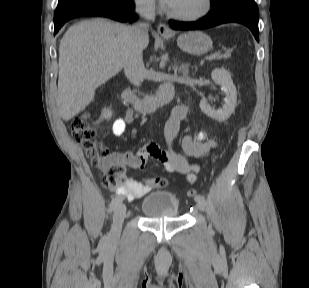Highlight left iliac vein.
<instances>
[{
    "label": "left iliac vein",
    "instance_id": "obj_1",
    "mask_svg": "<svg viewBox=\"0 0 309 288\" xmlns=\"http://www.w3.org/2000/svg\"><path fill=\"white\" fill-rule=\"evenodd\" d=\"M197 204V208L200 210V211H204L205 210V207H206V203H205V200H200V201H196Z\"/></svg>",
    "mask_w": 309,
    "mask_h": 288
}]
</instances>
